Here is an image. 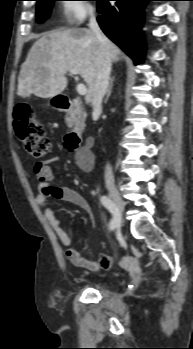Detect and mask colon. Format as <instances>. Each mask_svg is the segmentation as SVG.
I'll return each mask as SVG.
<instances>
[{
  "instance_id": "colon-1",
  "label": "colon",
  "mask_w": 193,
  "mask_h": 349,
  "mask_svg": "<svg viewBox=\"0 0 193 349\" xmlns=\"http://www.w3.org/2000/svg\"><path fill=\"white\" fill-rule=\"evenodd\" d=\"M13 125L18 142L29 155L41 158L50 152L51 141L29 105L20 104L16 107Z\"/></svg>"
}]
</instances>
